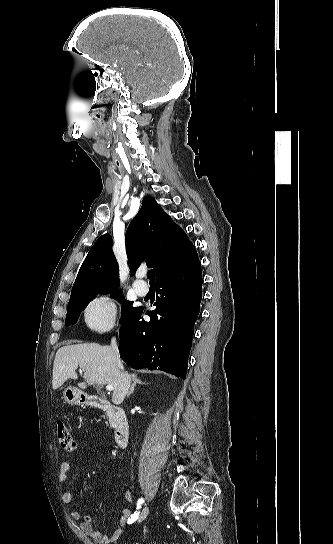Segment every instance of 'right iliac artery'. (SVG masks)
Instances as JSON below:
<instances>
[{"mask_svg": "<svg viewBox=\"0 0 333 544\" xmlns=\"http://www.w3.org/2000/svg\"><path fill=\"white\" fill-rule=\"evenodd\" d=\"M144 503V499L143 498H140L138 501H137V509H140L142 504ZM139 516V511H137L136 513H134L131 518H129L128 520V523L131 524L133 523L135 520H137Z\"/></svg>", "mask_w": 333, "mask_h": 544, "instance_id": "1", "label": "right iliac artery"}]
</instances>
